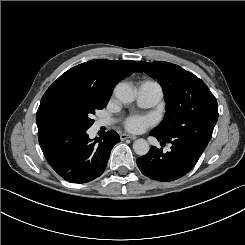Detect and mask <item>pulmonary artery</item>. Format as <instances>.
<instances>
[{
    "label": "pulmonary artery",
    "instance_id": "1",
    "mask_svg": "<svg viewBox=\"0 0 245 245\" xmlns=\"http://www.w3.org/2000/svg\"><path fill=\"white\" fill-rule=\"evenodd\" d=\"M137 100L138 103L143 107H151L156 105L163 97V91L161 86L152 80L141 82L137 88ZM107 122L104 120H97L93 126V130L97 131L101 126L106 125Z\"/></svg>",
    "mask_w": 245,
    "mask_h": 245
}]
</instances>
